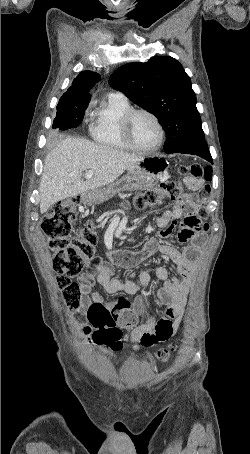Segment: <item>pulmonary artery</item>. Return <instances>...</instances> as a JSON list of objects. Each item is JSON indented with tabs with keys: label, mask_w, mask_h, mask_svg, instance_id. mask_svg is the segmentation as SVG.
Listing matches in <instances>:
<instances>
[{
	"label": "pulmonary artery",
	"mask_w": 250,
	"mask_h": 454,
	"mask_svg": "<svg viewBox=\"0 0 250 454\" xmlns=\"http://www.w3.org/2000/svg\"><path fill=\"white\" fill-rule=\"evenodd\" d=\"M110 96H113V97H117V98H120V99L127 100L126 96H125L123 93H121V92L112 93Z\"/></svg>",
	"instance_id": "pulmonary-artery-1"
}]
</instances>
